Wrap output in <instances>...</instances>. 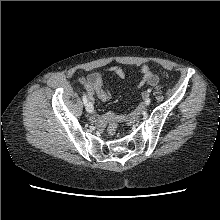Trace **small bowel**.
<instances>
[{
    "label": "small bowel",
    "mask_w": 220,
    "mask_h": 220,
    "mask_svg": "<svg viewBox=\"0 0 220 220\" xmlns=\"http://www.w3.org/2000/svg\"><path fill=\"white\" fill-rule=\"evenodd\" d=\"M141 79L139 82V86L144 85H152L156 86L159 84L160 79L159 77L152 72V70L143 65L140 68ZM116 75L120 78L125 76L124 71L120 67H110L107 69L105 75ZM80 85L87 91L90 100H93L94 96H97L98 99L101 101H107L110 99L111 94L108 90L104 88V74L95 72L87 77H82L79 79ZM107 118L101 115H94L91 117L92 122H96L100 127L105 125V119Z\"/></svg>",
    "instance_id": "c3829d8e"
}]
</instances>
